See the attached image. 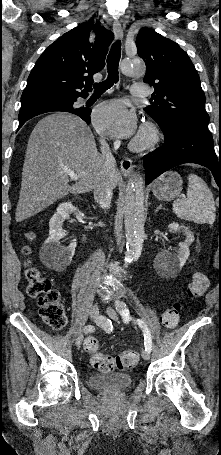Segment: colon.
Masks as SVG:
<instances>
[{
    "mask_svg": "<svg viewBox=\"0 0 221 455\" xmlns=\"http://www.w3.org/2000/svg\"><path fill=\"white\" fill-rule=\"evenodd\" d=\"M24 253L30 255L31 248L26 246ZM24 278L28 284V294L38 300L39 314L43 322L54 330L63 329L67 318L60 296L52 289L50 280L43 276L30 259L26 261ZM208 285L209 279L206 274H195L188 284L186 293L192 298L199 297L204 294ZM180 312L181 304L173 303L161 316L163 326L168 329L175 328L179 323ZM84 350L91 356L92 366L103 372L131 369L139 362V354L136 351H124L116 356L102 354L99 342L94 337L86 338Z\"/></svg>",
    "mask_w": 221,
    "mask_h": 455,
    "instance_id": "5ec220e1",
    "label": "colon"
}]
</instances>
